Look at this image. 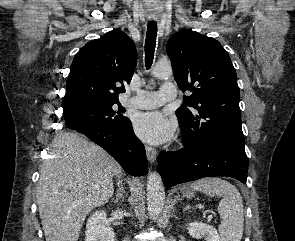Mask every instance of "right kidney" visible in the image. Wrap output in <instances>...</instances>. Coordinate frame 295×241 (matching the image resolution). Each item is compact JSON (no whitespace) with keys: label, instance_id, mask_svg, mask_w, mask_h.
Returning <instances> with one entry per match:
<instances>
[{"label":"right kidney","instance_id":"ca27d5eb","mask_svg":"<svg viewBox=\"0 0 295 241\" xmlns=\"http://www.w3.org/2000/svg\"><path fill=\"white\" fill-rule=\"evenodd\" d=\"M106 224L105 211H95L87 221L85 241H114V231L111 227H106Z\"/></svg>","mask_w":295,"mask_h":241}]
</instances>
